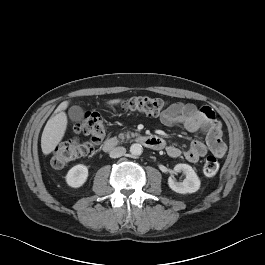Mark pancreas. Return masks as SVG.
Returning <instances> with one entry per match:
<instances>
[{"mask_svg": "<svg viewBox=\"0 0 265 265\" xmlns=\"http://www.w3.org/2000/svg\"><path fill=\"white\" fill-rule=\"evenodd\" d=\"M134 136H137V133H133V132H126V133H120L119 134V138L121 140H124L125 138H130V137H134Z\"/></svg>", "mask_w": 265, "mask_h": 265, "instance_id": "pancreas-1", "label": "pancreas"}]
</instances>
